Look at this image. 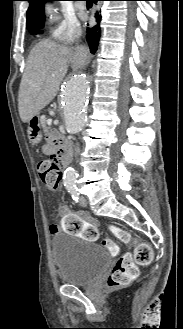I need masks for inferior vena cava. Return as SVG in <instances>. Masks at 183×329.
I'll return each instance as SVG.
<instances>
[{
	"label": "inferior vena cava",
	"instance_id": "602c4592",
	"mask_svg": "<svg viewBox=\"0 0 183 329\" xmlns=\"http://www.w3.org/2000/svg\"><path fill=\"white\" fill-rule=\"evenodd\" d=\"M88 49L79 47L76 50V61L83 67L88 60Z\"/></svg>",
	"mask_w": 183,
	"mask_h": 329
}]
</instances>
